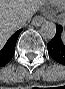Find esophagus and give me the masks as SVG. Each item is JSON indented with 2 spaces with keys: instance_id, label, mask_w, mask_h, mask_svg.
<instances>
[{
  "instance_id": "1",
  "label": "esophagus",
  "mask_w": 65,
  "mask_h": 89,
  "mask_svg": "<svg viewBox=\"0 0 65 89\" xmlns=\"http://www.w3.org/2000/svg\"><path fill=\"white\" fill-rule=\"evenodd\" d=\"M45 21V18L42 16H36L33 18L31 24L34 26H40Z\"/></svg>"
}]
</instances>
